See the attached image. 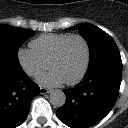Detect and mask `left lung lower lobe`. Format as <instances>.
<instances>
[{
	"label": "left lung lower lobe",
	"instance_id": "obj_1",
	"mask_svg": "<svg viewBox=\"0 0 128 128\" xmlns=\"http://www.w3.org/2000/svg\"><path fill=\"white\" fill-rule=\"evenodd\" d=\"M122 79L120 55H108L89 64L79 84L64 90L65 104L56 113L71 128H88L101 121L113 108Z\"/></svg>",
	"mask_w": 128,
	"mask_h": 128
}]
</instances>
